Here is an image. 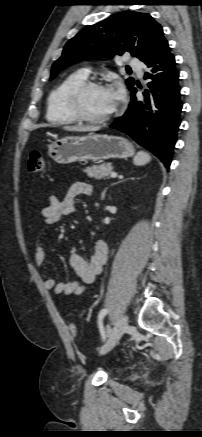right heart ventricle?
I'll return each mask as SVG.
<instances>
[{"label": "right heart ventricle", "instance_id": "right-heart-ventricle-1", "mask_svg": "<svg viewBox=\"0 0 202 437\" xmlns=\"http://www.w3.org/2000/svg\"><path fill=\"white\" fill-rule=\"evenodd\" d=\"M87 79V73L76 71L66 76L49 94L47 98L46 118L57 125L72 124L77 120L66 107L69 91L78 83Z\"/></svg>", "mask_w": 202, "mask_h": 437}]
</instances>
